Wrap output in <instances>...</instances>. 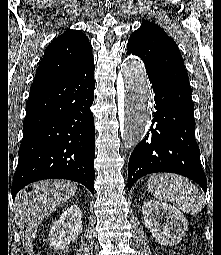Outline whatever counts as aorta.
<instances>
[{
	"mask_svg": "<svg viewBox=\"0 0 221 255\" xmlns=\"http://www.w3.org/2000/svg\"><path fill=\"white\" fill-rule=\"evenodd\" d=\"M122 78L117 82L122 111L121 134L127 148L133 149L145 136L152 119V96L142 61L125 60Z\"/></svg>",
	"mask_w": 221,
	"mask_h": 255,
	"instance_id": "aorta-1",
	"label": "aorta"
}]
</instances>
